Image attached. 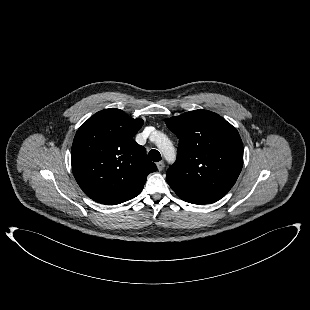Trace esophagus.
Returning a JSON list of instances; mask_svg holds the SVG:
<instances>
[{"instance_id": "1", "label": "esophagus", "mask_w": 310, "mask_h": 310, "mask_svg": "<svg viewBox=\"0 0 310 310\" xmlns=\"http://www.w3.org/2000/svg\"><path fill=\"white\" fill-rule=\"evenodd\" d=\"M157 168L159 171H162L163 168H164V162L163 161H160V162H157Z\"/></svg>"}]
</instances>
